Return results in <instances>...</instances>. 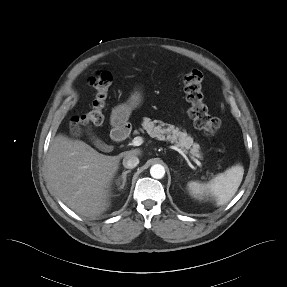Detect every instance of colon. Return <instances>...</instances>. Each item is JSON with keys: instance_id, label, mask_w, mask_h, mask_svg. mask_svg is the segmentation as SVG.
Segmentation results:
<instances>
[{"instance_id": "colon-1", "label": "colon", "mask_w": 287, "mask_h": 287, "mask_svg": "<svg viewBox=\"0 0 287 287\" xmlns=\"http://www.w3.org/2000/svg\"><path fill=\"white\" fill-rule=\"evenodd\" d=\"M88 82L95 89V98L91 110L79 117L70 120V129L78 135L81 126H97L104 121V111L109 92L113 83V77L108 71H99L88 78ZM203 74L198 70H190L183 76V86L186 100L189 102L188 115L196 129L207 136H213L221 127V120L210 114L205 103L203 88Z\"/></svg>"}]
</instances>
